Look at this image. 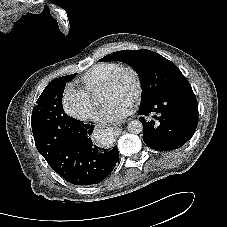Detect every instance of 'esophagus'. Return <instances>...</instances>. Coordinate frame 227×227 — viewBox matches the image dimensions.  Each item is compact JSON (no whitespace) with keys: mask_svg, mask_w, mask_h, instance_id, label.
Here are the masks:
<instances>
[{"mask_svg":"<svg viewBox=\"0 0 227 227\" xmlns=\"http://www.w3.org/2000/svg\"><path fill=\"white\" fill-rule=\"evenodd\" d=\"M118 130V127H110V131H116Z\"/></svg>","mask_w":227,"mask_h":227,"instance_id":"34e87169","label":"esophagus"}]
</instances>
